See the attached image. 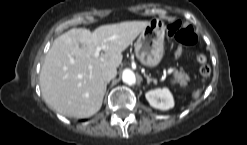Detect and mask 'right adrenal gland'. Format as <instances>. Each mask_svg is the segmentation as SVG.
<instances>
[{
    "instance_id": "obj_1",
    "label": "right adrenal gland",
    "mask_w": 247,
    "mask_h": 145,
    "mask_svg": "<svg viewBox=\"0 0 247 145\" xmlns=\"http://www.w3.org/2000/svg\"><path fill=\"white\" fill-rule=\"evenodd\" d=\"M110 83V81L105 82V93H106V89H107V85Z\"/></svg>"
}]
</instances>
